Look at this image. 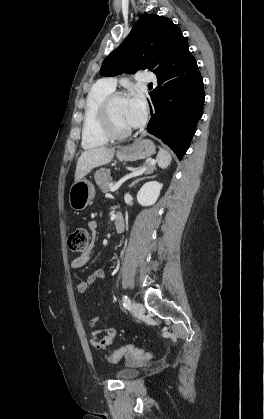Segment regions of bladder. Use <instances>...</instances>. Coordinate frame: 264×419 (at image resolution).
<instances>
[{
  "mask_svg": "<svg viewBox=\"0 0 264 419\" xmlns=\"http://www.w3.org/2000/svg\"><path fill=\"white\" fill-rule=\"evenodd\" d=\"M140 374V370L136 366H128L116 372V378L126 381L136 378Z\"/></svg>",
  "mask_w": 264,
  "mask_h": 419,
  "instance_id": "1",
  "label": "bladder"
}]
</instances>
